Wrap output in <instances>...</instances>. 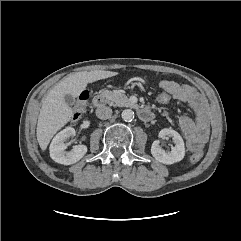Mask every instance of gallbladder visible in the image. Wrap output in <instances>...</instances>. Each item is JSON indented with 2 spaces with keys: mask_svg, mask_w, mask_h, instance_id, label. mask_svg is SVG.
Masks as SVG:
<instances>
[{
  "mask_svg": "<svg viewBox=\"0 0 241 241\" xmlns=\"http://www.w3.org/2000/svg\"><path fill=\"white\" fill-rule=\"evenodd\" d=\"M64 100H65V102L68 104V105H73L74 104V102H75V99H74V97L72 96V95H69V94H66L65 96H64Z\"/></svg>",
  "mask_w": 241,
  "mask_h": 241,
  "instance_id": "obj_1",
  "label": "gallbladder"
}]
</instances>
